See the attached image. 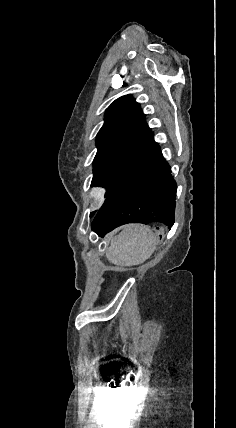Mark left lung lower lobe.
<instances>
[{
	"instance_id": "1",
	"label": "left lung lower lobe",
	"mask_w": 236,
	"mask_h": 428,
	"mask_svg": "<svg viewBox=\"0 0 236 428\" xmlns=\"http://www.w3.org/2000/svg\"><path fill=\"white\" fill-rule=\"evenodd\" d=\"M176 182L153 133L95 214L92 230L100 237L127 223L174 224Z\"/></svg>"
}]
</instances>
